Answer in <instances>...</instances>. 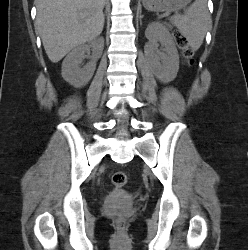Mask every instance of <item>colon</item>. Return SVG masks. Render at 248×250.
Wrapping results in <instances>:
<instances>
[{
	"label": "colon",
	"mask_w": 248,
	"mask_h": 250,
	"mask_svg": "<svg viewBox=\"0 0 248 250\" xmlns=\"http://www.w3.org/2000/svg\"><path fill=\"white\" fill-rule=\"evenodd\" d=\"M173 37L176 45L181 50L183 58L188 64L193 62V49L190 47L186 37L179 31H174ZM129 177L125 171H116L111 177L112 184L116 187H123L128 183ZM122 223V219L118 220Z\"/></svg>",
	"instance_id": "1"
}]
</instances>
